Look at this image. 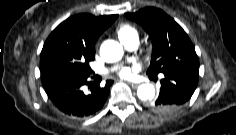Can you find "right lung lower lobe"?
<instances>
[{
  "mask_svg": "<svg viewBox=\"0 0 236 135\" xmlns=\"http://www.w3.org/2000/svg\"><path fill=\"white\" fill-rule=\"evenodd\" d=\"M94 75V74H93ZM89 74L71 71L41 72L43 87L52 103L64 114L71 117H88L96 114L106 102L112 80H107L100 87L101 77L94 75L93 83L89 84ZM90 93L83 92V86L88 85Z\"/></svg>",
  "mask_w": 236,
  "mask_h": 135,
  "instance_id": "right-lung-lower-lobe-1",
  "label": "right lung lower lobe"
}]
</instances>
